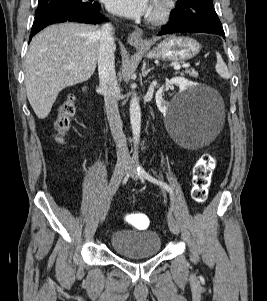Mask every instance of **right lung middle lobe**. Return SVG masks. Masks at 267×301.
Returning <instances> with one entry per match:
<instances>
[{
	"instance_id": "right-lung-middle-lobe-1",
	"label": "right lung middle lobe",
	"mask_w": 267,
	"mask_h": 301,
	"mask_svg": "<svg viewBox=\"0 0 267 301\" xmlns=\"http://www.w3.org/2000/svg\"><path fill=\"white\" fill-rule=\"evenodd\" d=\"M84 2L82 0H39L38 8L35 11V18L60 10H82L92 7L96 2Z\"/></svg>"
}]
</instances>
